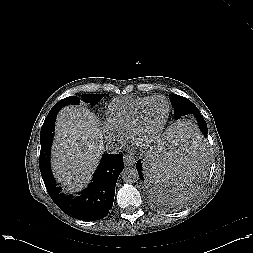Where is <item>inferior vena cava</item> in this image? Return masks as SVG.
Segmentation results:
<instances>
[{"label":"inferior vena cava","instance_id":"1","mask_svg":"<svg viewBox=\"0 0 253 253\" xmlns=\"http://www.w3.org/2000/svg\"><path fill=\"white\" fill-rule=\"evenodd\" d=\"M121 149L122 148L120 146H118L115 142L109 141L106 143V151L108 153L117 154V153L121 152Z\"/></svg>","mask_w":253,"mask_h":253}]
</instances>
